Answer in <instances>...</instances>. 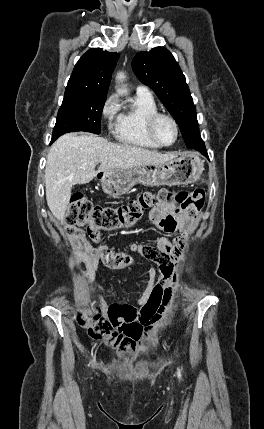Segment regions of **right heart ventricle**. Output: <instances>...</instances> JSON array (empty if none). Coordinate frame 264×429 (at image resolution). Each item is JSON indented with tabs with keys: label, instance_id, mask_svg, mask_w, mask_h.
<instances>
[{
	"label": "right heart ventricle",
	"instance_id": "1",
	"mask_svg": "<svg viewBox=\"0 0 264 429\" xmlns=\"http://www.w3.org/2000/svg\"><path fill=\"white\" fill-rule=\"evenodd\" d=\"M158 112L152 95L136 94L129 107L121 111L115 122V138L126 145L145 149H158L148 136L146 125L153 114Z\"/></svg>",
	"mask_w": 264,
	"mask_h": 429
}]
</instances>
